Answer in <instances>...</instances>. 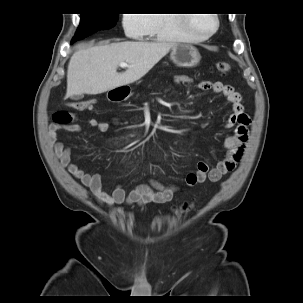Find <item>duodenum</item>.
<instances>
[{
  "label": "duodenum",
  "mask_w": 303,
  "mask_h": 303,
  "mask_svg": "<svg viewBox=\"0 0 303 303\" xmlns=\"http://www.w3.org/2000/svg\"><path fill=\"white\" fill-rule=\"evenodd\" d=\"M110 96L113 100L120 101L123 100L126 96V93L122 90H114L110 93Z\"/></svg>",
  "instance_id": "duodenum-1"
}]
</instances>
